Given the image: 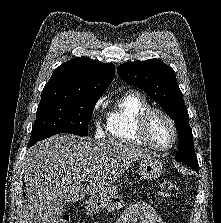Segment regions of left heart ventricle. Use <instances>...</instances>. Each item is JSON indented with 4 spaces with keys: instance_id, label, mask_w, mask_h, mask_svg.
<instances>
[{
    "instance_id": "obj_1",
    "label": "left heart ventricle",
    "mask_w": 221,
    "mask_h": 223,
    "mask_svg": "<svg viewBox=\"0 0 221 223\" xmlns=\"http://www.w3.org/2000/svg\"><path fill=\"white\" fill-rule=\"evenodd\" d=\"M149 135L159 146H167L173 139V132L168 121L159 114L153 116L149 124Z\"/></svg>"
}]
</instances>
